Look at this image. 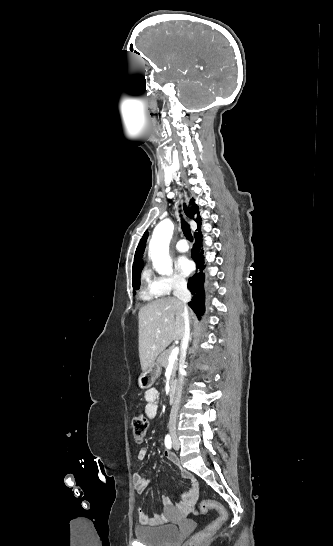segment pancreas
<instances>
[{
    "mask_svg": "<svg viewBox=\"0 0 333 546\" xmlns=\"http://www.w3.org/2000/svg\"><path fill=\"white\" fill-rule=\"evenodd\" d=\"M173 348H169V349H166L165 351H163L157 361L158 363L161 365V367L163 368H167L168 366V360H169V356L172 352ZM178 370V358L175 360L174 364H173V369H172V378H175L176 376V371Z\"/></svg>",
    "mask_w": 333,
    "mask_h": 546,
    "instance_id": "cf45deb5",
    "label": "pancreas"
}]
</instances>
